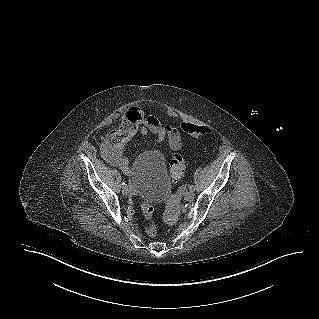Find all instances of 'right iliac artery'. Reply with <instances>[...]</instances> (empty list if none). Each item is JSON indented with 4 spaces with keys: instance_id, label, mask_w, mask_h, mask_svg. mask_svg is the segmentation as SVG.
Returning <instances> with one entry per match:
<instances>
[{
    "instance_id": "1",
    "label": "right iliac artery",
    "mask_w": 319,
    "mask_h": 319,
    "mask_svg": "<svg viewBox=\"0 0 319 319\" xmlns=\"http://www.w3.org/2000/svg\"><path fill=\"white\" fill-rule=\"evenodd\" d=\"M122 186H123V187H125V186H126V183H125V182H123V183H122Z\"/></svg>"
}]
</instances>
